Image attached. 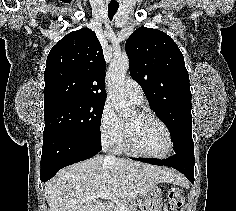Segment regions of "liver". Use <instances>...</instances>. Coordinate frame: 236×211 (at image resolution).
<instances>
[{"label":"liver","mask_w":236,"mask_h":211,"mask_svg":"<svg viewBox=\"0 0 236 211\" xmlns=\"http://www.w3.org/2000/svg\"><path fill=\"white\" fill-rule=\"evenodd\" d=\"M182 182V177L168 168L95 156L61 169L44 191L49 211H112L113 203L90 198L108 192L140 202L159 183Z\"/></svg>","instance_id":"1"}]
</instances>
